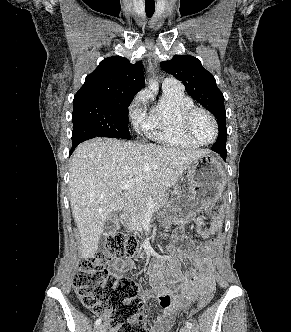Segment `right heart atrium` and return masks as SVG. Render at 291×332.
Wrapping results in <instances>:
<instances>
[{
    "label": "right heart atrium",
    "instance_id": "d8ad5b80",
    "mask_svg": "<svg viewBox=\"0 0 291 332\" xmlns=\"http://www.w3.org/2000/svg\"><path fill=\"white\" fill-rule=\"evenodd\" d=\"M146 101V94H138L132 102L130 116L134 124L142 125L144 123L143 107Z\"/></svg>",
    "mask_w": 291,
    "mask_h": 332
}]
</instances>
